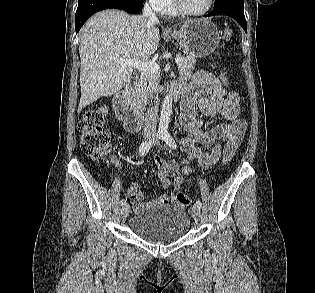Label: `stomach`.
Wrapping results in <instances>:
<instances>
[{
  "label": "stomach",
  "instance_id": "1",
  "mask_svg": "<svg viewBox=\"0 0 315 293\" xmlns=\"http://www.w3.org/2000/svg\"><path fill=\"white\" fill-rule=\"evenodd\" d=\"M188 56L204 58L218 47L220 34L217 27L208 20H192L179 30L169 34Z\"/></svg>",
  "mask_w": 315,
  "mask_h": 293
}]
</instances>
